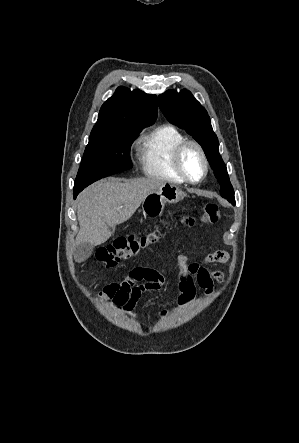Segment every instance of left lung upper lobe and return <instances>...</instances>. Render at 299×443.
<instances>
[{
    "mask_svg": "<svg viewBox=\"0 0 299 443\" xmlns=\"http://www.w3.org/2000/svg\"><path fill=\"white\" fill-rule=\"evenodd\" d=\"M159 107L171 123L185 129L202 146L220 183L221 196L229 202L235 201L226 166L219 154V142L205 108L187 90L179 93L169 90L160 95Z\"/></svg>",
    "mask_w": 299,
    "mask_h": 443,
    "instance_id": "left-lung-upper-lobe-1",
    "label": "left lung upper lobe"
}]
</instances>
